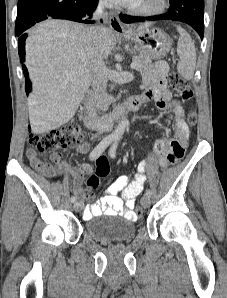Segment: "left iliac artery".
<instances>
[{
    "mask_svg": "<svg viewBox=\"0 0 227 298\" xmlns=\"http://www.w3.org/2000/svg\"><path fill=\"white\" fill-rule=\"evenodd\" d=\"M117 145H118V142H117V140H115L114 144L110 148L109 154L112 158H115V156H116ZM145 194L150 197L152 193L150 190H146Z\"/></svg>",
    "mask_w": 227,
    "mask_h": 298,
    "instance_id": "obj_1",
    "label": "left iliac artery"
}]
</instances>
